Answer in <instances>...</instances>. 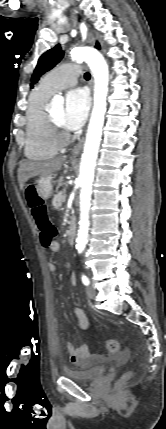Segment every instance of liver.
I'll return each instance as SVG.
<instances>
[{"mask_svg": "<svg viewBox=\"0 0 166 429\" xmlns=\"http://www.w3.org/2000/svg\"><path fill=\"white\" fill-rule=\"evenodd\" d=\"M66 160V156L54 158L49 161L37 162L26 161L20 164L18 168V181L20 189L23 190L25 183L35 176H52L53 173L59 171ZM62 178L59 179V184L62 183Z\"/></svg>", "mask_w": 166, "mask_h": 429, "instance_id": "liver-1", "label": "liver"}]
</instances>
